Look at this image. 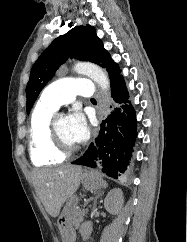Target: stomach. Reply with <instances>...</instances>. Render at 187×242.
<instances>
[{"instance_id": "1", "label": "stomach", "mask_w": 187, "mask_h": 242, "mask_svg": "<svg viewBox=\"0 0 187 242\" xmlns=\"http://www.w3.org/2000/svg\"><path fill=\"white\" fill-rule=\"evenodd\" d=\"M81 183L85 190L95 191L102 188L105 184L101 174L95 170H86L81 177ZM78 197L72 195L68 198L60 216L57 219V226L61 235L62 242H74L76 232V211Z\"/></svg>"}]
</instances>
